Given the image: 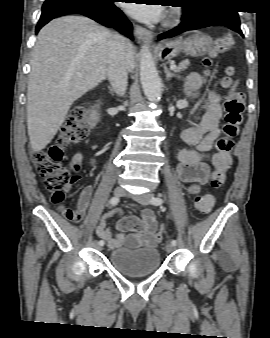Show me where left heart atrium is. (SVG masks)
I'll list each match as a JSON object with an SVG mask.
<instances>
[{"mask_svg":"<svg viewBox=\"0 0 270 338\" xmlns=\"http://www.w3.org/2000/svg\"><path fill=\"white\" fill-rule=\"evenodd\" d=\"M124 8L128 13L143 21H157L162 16L161 7L159 5H140L137 3H125Z\"/></svg>","mask_w":270,"mask_h":338,"instance_id":"obj_1","label":"left heart atrium"}]
</instances>
